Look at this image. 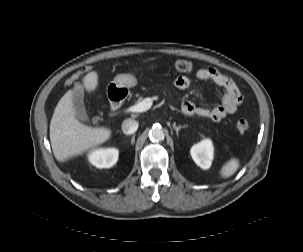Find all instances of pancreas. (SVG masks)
<instances>
[{
    "label": "pancreas",
    "instance_id": "cf45deb5",
    "mask_svg": "<svg viewBox=\"0 0 303 252\" xmlns=\"http://www.w3.org/2000/svg\"><path fill=\"white\" fill-rule=\"evenodd\" d=\"M137 97H138V99H137V103H139V102H141V101H143L144 100V98L142 97V96H139V95H136Z\"/></svg>",
    "mask_w": 303,
    "mask_h": 252
}]
</instances>
